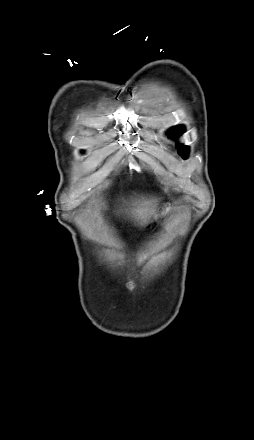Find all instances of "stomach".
<instances>
[{"label":"stomach","mask_w":254,"mask_h":440,"mask_svg":"<svg viewBox=\"0 0 254 440\" xmlns=\"http://www.w3.org/2000/svg\"><path fill=\"white\" fill-rule=\"evenodd\" d=\"M167 210H168V207H165V208L160 212V214L156 215V218H157V216H160V217L163 216Z\"/></svg>","instance_id":"0dacf381"}]
</instances>
